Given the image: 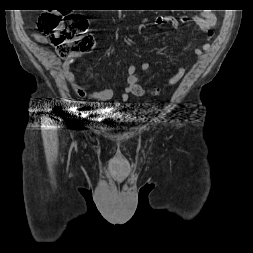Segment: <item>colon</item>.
Listing matches in <instances>:
<instances>
[{
    "label": "colon",
    "instance_id": "5ec220e1",
    "mask_svg": "<svg viewBox=\"0 0 253 253\" xmlns=\"http://www.w3.org/2000/svg\"><path fill=\"white\" fill-rule=\"evenodd\" d=\"M87 19L79 14L44 13L39 18V31L54 46L62 58H74L89 52L94 39L87 32ZM160 89L152 90L151 96H157Z\"/></svg>",
    "mask_w": 253,
    "mask_h": 253
}]
</instances>
